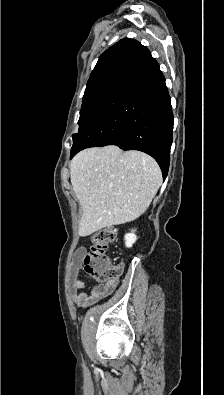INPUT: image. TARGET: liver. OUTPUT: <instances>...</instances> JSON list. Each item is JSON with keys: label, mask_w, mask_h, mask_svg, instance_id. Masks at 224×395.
<instances>
[{"label": "liver", "mask_w": 224, "mask_h": 395, "mask_svg": "<svg viewBox=\"0 0 224 395\" xmlns=\"http://www.w3.org/2000/svg\"><path fill=\"white\" fill-rule=\"evenodd\" d=\"M71 184L82 210L78 233L131 222L143 214L162 184L157 162L140 151L111 145L79 152L70 164Z\"/></svg>", "instance_id": "liver-1"}]
</instances>
